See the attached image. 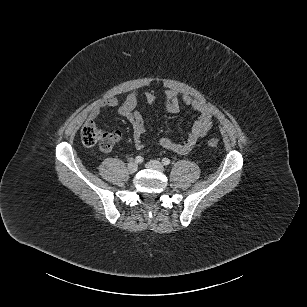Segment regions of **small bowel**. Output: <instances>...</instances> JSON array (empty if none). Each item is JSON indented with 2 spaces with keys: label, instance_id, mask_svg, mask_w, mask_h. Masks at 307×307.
<instances>
[{
  "label": "small bowel",
  "instance_id": "c3829d8e",
  "mask_svg": "<svg viewBox=\"0 0 307 307\" xmlns=\"http://www.w3.org/2000/svg\"><path fill=\"white\" fill-rule=\"evenodd\" d=\"M166 109L170 113H177L180 110L181 103L192 108L198 117L193 123L186 139L182 142H175L167 137H162L159 144L164 149L177 154H187L196 143L202 139L212 127V112L207 104L195 100L188 96L180 97L177 92L167 90L165 92ZM139 100L146 105H152L155 102V96L151 92L139 94L138 92L129 93L121 103L116 97H109L97 104L91 111L89 121L97 120L104 109L117 107V114L129 120L132 126L133 143L137 150L143 149L142 137L146 132L145 122L142 113L137 109Z\"/></svg>",
  "mask_w": 307,
  "mask_h": 307
}]
</instances>
